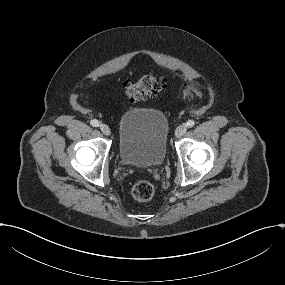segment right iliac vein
I'll return each instance as SVG.
<instances>
[{
	"mask_svg": "<svg viewBox=\"0 0 285 285\" xmlns=\"http://www.w3.org/2000/svg\"><path fill=\"white\" fill-rule=\"evenodd\" d=\"M100 130H101V132H102L104 135H106V136H109L110 133H111V130H110L109 126L106 125V124H101V125H100Z\"/></svg>",
	"mask_w": 285,
	"mask_h": 285,
	"instance_id": "obj_1",
	"label": "right iliac vein"
}]
</instances>
